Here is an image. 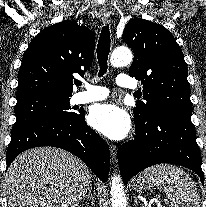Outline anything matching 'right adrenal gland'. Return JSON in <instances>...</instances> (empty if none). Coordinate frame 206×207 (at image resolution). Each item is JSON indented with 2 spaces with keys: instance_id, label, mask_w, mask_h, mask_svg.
<instances>
[{
  "instance_id": "right-adrenal-gland-1",
  "label": "right adrenal gland",
  "mask_w": 206,
  "mask_h": 207,
  "mask_svg": "<svg viewBox=\"0 0 206 207\" xmlns=\"http://www.w3.org/2000/svg\"><path fill=\"white\" fill-rule=\"evenodd\" d=\"M86 199H90L91 204L93 205V196H92L91 188L88 189V194L82 200H86Z\"/></svg>"
}]
</instances>
